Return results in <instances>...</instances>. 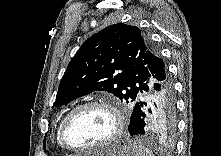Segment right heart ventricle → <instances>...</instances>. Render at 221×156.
Masks as SVG:
<instances>
[{
  "label": "right heart ventricle",
  "instance_id": "e07e8e85",
  "mask_svg": "<svg viewBox=\"0 0 221 156\" xmlns=\"http://www.w3.org/2000/svg\"><path fill=\"white\" fill-rule=\"evenodd\" d=\"M68 113H66L62 118L61 120L59 121V124L57 126V129H56V142H57V145L60 147V148H63V146L61 145L60 141H59V130H60V127H61V124H62V121L64 120L65 116L67 115Z\"/></svg>",
  "mask_w": 221,
  "mask_h": 156
}]
</instances>
